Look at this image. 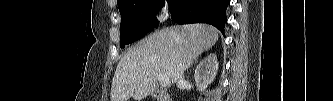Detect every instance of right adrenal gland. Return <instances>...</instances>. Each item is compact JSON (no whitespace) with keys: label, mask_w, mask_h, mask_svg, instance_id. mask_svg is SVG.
I'll list each match as a JSON object with an SVG mask.
<instances>
[{"label":"right adrenal gland","mask_w":333,"mask_h":101,"mask_svg":"<svg viewBox=\"0 0 333 101\" xmlns=\"http://www.w3.org/2000/svg\"><path fill=\"white\" fill-rule=\"evenodd\" d=\"M197 59H198V57L193 61L192 65L197 61ZM192 65H191V67H192Z\"/></svg>","instance_id":"2a0ac1e0"}]
</instances>
